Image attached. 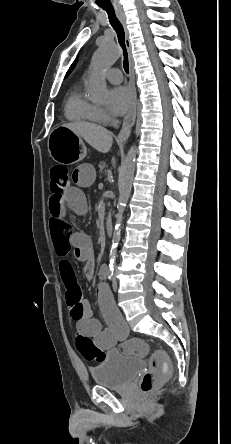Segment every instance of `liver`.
I'll list each match as a JSON object with an SVG mask.
<instances>
[{
	"label": "liver",
	"instance_id": "obj_1",
	"mask_svg": "<svg viewBox=\"0 0 231 444\" xmlns=\"http://www.w3.org/2000/svg\"><path fill=\"white\" fill-rule=\"evenodd\" d=\"M63 126L83 138L90 146L99 152L107 153L111 149L113 134L100 125L76 122L64 124Z\"/></svg>",
	"mask_w": 231,
	"mask_h": 444
}]
</instances>
